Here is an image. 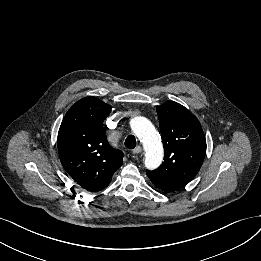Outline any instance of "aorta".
<instances>
[{
	"label": "aorta",
	"mask_w": 261,
	"mask_h": 261,
	"mask_svg": "<svg viewBox=\"0 0 261 261\" xmlns=\"http://www.w3.org/2000/svg\"><path fill=\"white\" fill-rule=\"evenodd\" d=\"M130 126L144 146L146 168H158L163 160V145L158 132L148 119L141 116L133 118Z\"/></svg>",
	"instance_id": "obj_1"
}]
</instances>
